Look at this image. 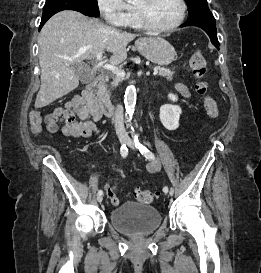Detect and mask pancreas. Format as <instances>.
Listing matches in <instances>:
<instances>
[{"label":"pancreas","instance_id":"cf45deb5","mask_svg":"<svg viewBox=\"0 0 261 273\" xmlns=\"http://www.w3.org/2000/svg\"><path fill=\"white\" fill-rule=\"evenodd\" d=\"M154 69L158 71L159 76L166 77L170 81L172 80L173 71H171L170 69L160 67V66H156L154 67ZM123 80H124V77H119L114 74L112 76L111 88L118 86V84L122 82Z\"/></svg>","mask_w":261,"mask_h":273}]
</instances>
